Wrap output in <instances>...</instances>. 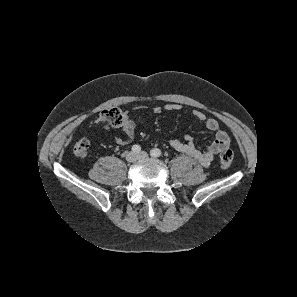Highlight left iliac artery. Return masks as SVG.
<instances>
[{
	"label": "left iliac artery",
	"instance_id": "44dca946",
	"mask_svg": "<svg viewBox=\"0 0 297 297\" xmlns=\"http://www.w3.org/2000/svg\"><path fill=\"white\" fill-rule=\"evenodd\" d=\"M152 157H159L161 156L162 152L160 149L154 148L150 151Z\"/></svg>",
	"mask_w": 297,
	"mask_h": 297
}]
</instances>
